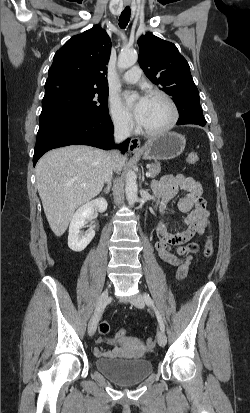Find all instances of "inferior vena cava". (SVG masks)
Instances as JSON below:
<instances>
[{
	"label": "inferior vena cava",
	"instance_id": "602c4592",
	"mask_svg": "<svg viewBox=\"0 0 250 413\" xmlns=\"http://www.w3.org/2000/svg\"><path fill=\"white\" fill-rule=\"evenodd\" d=\"M130 127L127 119H117L114 122V140L116 143H120L130 136ZM119 153L117 151H110L107 153V163H106V176L105 181L107 184L111 182L113 172L116 170L115 159L118 157Z\"/></svg>",
	"mask_w": 250,
	"mask_h": 413
}]
</instances>
